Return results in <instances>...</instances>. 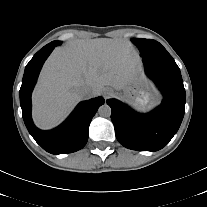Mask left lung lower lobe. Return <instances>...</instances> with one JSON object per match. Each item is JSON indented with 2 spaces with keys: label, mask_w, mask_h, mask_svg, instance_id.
I'll return each instance as SVG.
<instances>
[{
  "label": "left lung lower lobe",
  "mask_w": 207,
  "mask_h": 207,
  "mask_svg": "<svg viewBox=\"0 0 207 207\" xmlns=\"http://www.w3.org/2000/svg\"><path fill=\"white\" fill-rule=\"evenodd\" d=\"M145 72L163 93L153 111L141 114L128 105L108 99L117 140L137 151L162 149L176 134L185 111V89L180 69L171 55L143 57Z\"/></svg>",
  "instance_id": "0a47b994"
}]
</instances>
